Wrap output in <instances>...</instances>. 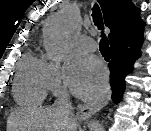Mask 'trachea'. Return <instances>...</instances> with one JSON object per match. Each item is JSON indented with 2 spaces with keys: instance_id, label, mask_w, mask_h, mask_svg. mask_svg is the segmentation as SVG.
Segmentation results:
<instances>
[{
  "instance_id": "obj_1",
  "label": "trachea",
  "mask_w": 151,
  "mask_h": 131,
  "mask_svg": "<svg viewBox=\"0 0 151 131\" xmlns=\"http://www.w3.org/2000/svg\"><path fill=\"white\" fill-rule=\"evenodd\" d=\"M92 11H93L92 13L93 22L95 23V25L98 27L99 30H103L104 24H103L100 8L97 5H95L92 8ZM101 36L102 39L100 40L99 43V49L104 59L109 60V41L108 38L105 36V34L102 33Z\"/></svg>"
}]
</instances>
